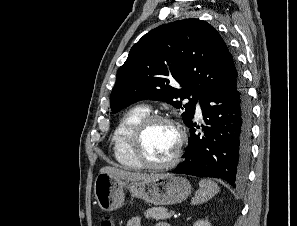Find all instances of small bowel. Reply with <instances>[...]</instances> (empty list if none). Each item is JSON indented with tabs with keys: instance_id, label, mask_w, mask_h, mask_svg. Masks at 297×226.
I'll list each match as a JSON object with an SVG mask.
<instances>
[{
	"instance_id": "1",
	"label": "small bowel",
	"mask_w": 297,
	"mask_h": 226,
	"mask_svg": "<svg viewBox=\"0 0 297 226\" xmlns=\"http://www.w3.org/2000/svg\"><path fill=\"white\" fill-rule=\"evenodd\" d=\"M141 223H142L141 217L134 216L128 220L126 226H141ZM156 226H168V225L164 222H160V223L156 224Z\"/></svg>"
}]
</instances>
